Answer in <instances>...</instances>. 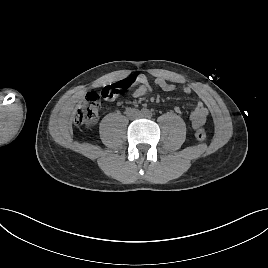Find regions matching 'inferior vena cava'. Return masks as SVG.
<instances>
[{"mask_svg":"<svg viewBox=\"0 0 268 268\" xmlns=\"http://www.w3.org/2000/svg\"><path fill=\"white\" fill-rule=\"evenodd\" d=\"M127 115L131 118V119H136L139 116V113L137 110H132V111H128Z\"/></svg>","mask_w":268,"mask_h":268,"instance_id":"inferior-vena-cava-1","label":"inferior vena cava"}]
</instances>
